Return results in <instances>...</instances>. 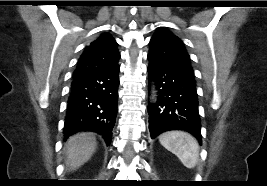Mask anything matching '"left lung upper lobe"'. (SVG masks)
<instances>
[{
	"label": "left lung upper lobe",
	"instance_id": "left-lung-upper-lobe-1",
	"mask_svg": "<svg viewBox=\"0 0 267 186\" xmlns=\"http://www.w3.org/2000/svg\"><path fill=\"white\" fill-rule=\"evenodd\" d=\"M149 56L194 78L191 60L184 43L166 29H159L150 40Z\"/></svg>",
	"mask_w": 267,
	"mask_h": 186
}]
</instances>
